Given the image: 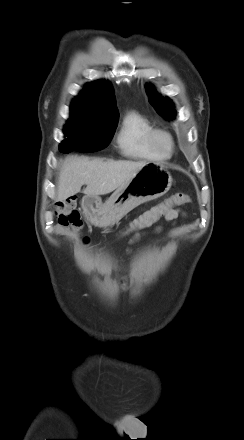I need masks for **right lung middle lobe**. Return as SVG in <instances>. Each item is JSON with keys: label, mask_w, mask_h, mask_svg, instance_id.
<instances>
[{"label": "right lung middle lobe", "mask_w": 244, "mask_h": 440, "mask_svg": "<svg viewBox=\"0 0 244 440\" xmlns=\"http://www.w3.org/2000/svg\"><path fill=\"white\" fill-rule=\"evenodd\" d=\"M116 127L117 122L101 125L82 121H68L64 127L67 138L60 144L59 149L62 153L99 151L109 144Z\"/></svg>", "instance_id": "dd1d6c3e"}]
</instances>
